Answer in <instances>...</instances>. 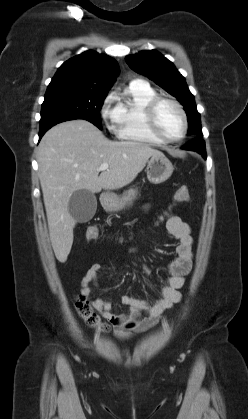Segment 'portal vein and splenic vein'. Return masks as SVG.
<instances>
[{"mask_svg":"<svg viewBox=\"0 0 248 419\" xmlns=\"http://www.w3.org/2000/svg\"><path fill=\"white\" fill-rule=\"evenodd\" d=\"M108 167H109V165L107 163H103L99 166L98 170L103 171V170L108 169Z\"/></svg>","mask_w":248,"mask_h":419,"instance_id":"18ae733b","label":"portal vein and splenic vein"}]
</instances>
